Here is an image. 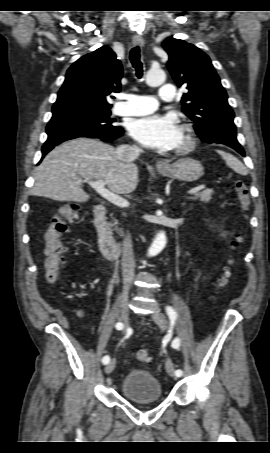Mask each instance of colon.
Instances as JSON below:
<instances>
[{
  "label": "colon",
  "instance_id": "obj_1",
  "mask_svg": "<svg viewBox=\"0 0 270 453\" xmlns=\"http://www.w3.org/2000/svg\"><path fill=\"white\" fill-rule=\"evenodd\" d=\"M234 190L236 192L240 209L243 212L248 211L251 200L247 185L240 180L235 181ZM80 206L75 202H67L63 204L58 213L52 218L49 228L45 233V273L46 280L49 283H55L60 279L61 267L65 262V246L63 239L69 231V225L79 217ZM242 241L241 235H237L232 242V248L236 249ZM232 261H229V265ZM232 272L230 267L224 270V273L219 279V286L226 287L231 278ZM137 360L142 364H148L152 361L151 354L144 349L138 350L136 353Z\"/></svg>",
  "mask_w": 270,
  "mask_h": 453
}]
</instances>
